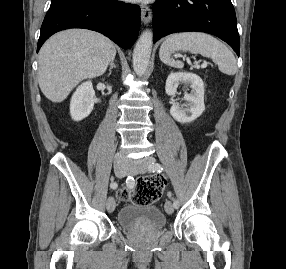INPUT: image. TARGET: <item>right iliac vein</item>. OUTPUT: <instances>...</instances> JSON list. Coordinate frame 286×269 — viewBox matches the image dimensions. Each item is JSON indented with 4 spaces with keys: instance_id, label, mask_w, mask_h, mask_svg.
Returning <instances> with one entry per match:
<instances>
[{
    "instance_id": "63e3f726",
    "label": "right iliac vein",
    "mask_w": 286,
    "mask_h": 269,
    "mask_svg": "<svg viewBox=\"0 0 286 269\" xmlns=\"http://www.w3.org/2000/svg\"><path fill=\"white\" fill-rule=\"evenodd\" d=\"M129 171V167L125 164H119L115 168V175L118 178L124 177ZM106 207L109 213H112L116 207L115 200L112 197H109L106 203Z\"/></svg>"
}]
</instances>
